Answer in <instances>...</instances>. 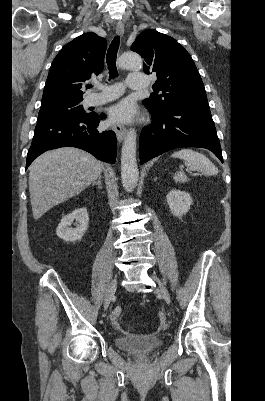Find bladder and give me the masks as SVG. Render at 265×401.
<instances>
[{
  "label": "bladder",
  "mask_w": 265,
  "mask_h": 401,
  "mask_svg": "<svg viewBox=\"0 0 265 401\" xmlns=\"http://www.w3.org/2000/svg\"><path fill=\"white\" fill-rule=\"evenodd\" d=\"M117 346L123 351H127L135 356H148L153 350L158 349L163 344V338L137 335L115 340Z\"/></svg>",
  "instance_id": "bladder-1"
}]
</instances>
